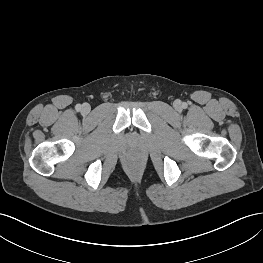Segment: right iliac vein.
I'll return each mask as SVG.
<instances>
[{
    "instance_id": "right-iliac-vein-1",
    "label": "right iliac vein",
    "mask_w": 263,
    "mask_h": 263,
    "mask_svg": "<svg viewBox=\"0 0 263 263\" xmlns=\"http://www.w3.org/2000/svg\"><path fill=\"white\" fill-rule=\"evenodd\" d=\"M90 110H91V107L88 103H84L82 106H81V113L83 115H88L90 113Z\"/></svg>"
}]
</instances>
